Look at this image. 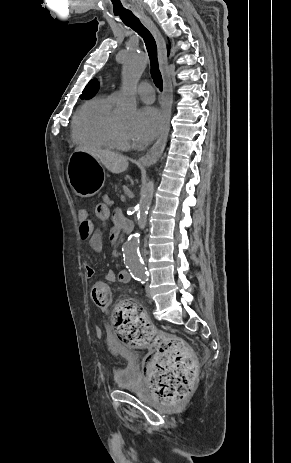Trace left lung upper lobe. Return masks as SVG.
Segmentation results:
<instances>
[{
	"label": "left lung upper lobe",
	"mask_w": 291,
	"mask_h": 463,
	"mask_svg": "<svg viewBox=\"0 0 291 463\" xmlns=\"http://www.w3.org/2000/svg\"><path fill=\"white\" fill-rule=\"evenodd\" d=\"M99 89V82L96 79H92L88 85L83 90L82 94L80 95L81 99H88L92 98Z\"/></svg>",
	"instance_id": "5c2ea615"
}]
</instances>
